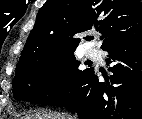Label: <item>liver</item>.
<instances>
[{"mask_svg": "<svg viewBox=\"0 0 142 119\" xmlns=\"http://www.w3.org/2000/svg\"><path fill=\"white\" fill-rule=\"evenodd\" d=\"M26 119H66L60 114H35L34 116H27ZM69 119V118H68Z\"/></svg>", "mask_w": 142, "mask_h": 119, "instance_id": "6515ba94", "label": "liver"}]
</instances>
